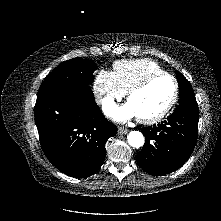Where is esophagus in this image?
Masks as SVG:
<instances>
[{
	"instance_id": "1",
	"label": "esophagus",
	"mask_w": 221,
	"mask_h": 221,
	"mask_svg": "<svg viewBox=\"0 0 221 221\" xmlns=\"http://www.w3.org/2000/svg\"><path fill=\"white\" fill-rule=\"evenodd\" d=\"M128 132V129L124 128V127H118V134H125Z\"/></svg>"
}]
</instances>
